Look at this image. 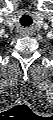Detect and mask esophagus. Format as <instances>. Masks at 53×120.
Returning <instances> with one entry per match:
<instances>
[{
	"label": "esophagus",
	"instance_id": "34e87169",
	"mask_svg": "<svg viewBox=\"0 0 53 120\" xmlns=\"http://www.w3.org/2000/svg\"><path fill=\"white\" fill-rule=\"evenodd\" d=\"M29 29H25L24 31H23V34H25V35H27V34H29Z\"/></svg>",
	"mask_w": 53,
	"mask_h": 120
}]
</instances>
